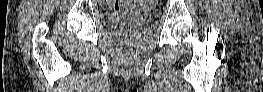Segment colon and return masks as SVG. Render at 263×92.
Instances as JSON below:
<instances>
[{"label":"colon","mask_w":263,"mask_h":92,"mask_svg":"<svg viewBox=\"0 0 263 92\" xmlns=\"http://www.w3.org/2000/svg\"><path fill=\"white\" fill-rule=\"evenodd\" d=\"M112 5L115 9H120V2L119 1H113Z\"/></svg>","instance_id":"5ec220e1"}]
</instances>
